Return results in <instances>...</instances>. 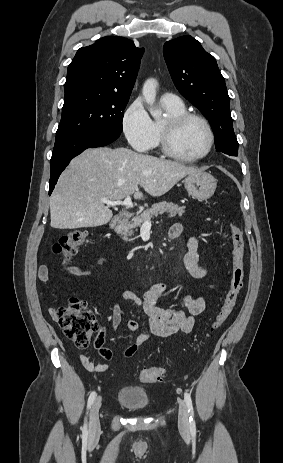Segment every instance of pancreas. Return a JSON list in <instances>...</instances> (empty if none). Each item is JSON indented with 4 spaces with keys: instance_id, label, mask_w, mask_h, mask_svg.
I'll list each match as a JSON object with an SVG mask.
<instances>
[{
    "instance_id": "cf45deb5",
    "label": "pancreas",
    "mask_w": 283,
    "mask_h": 463,
    "mask_svg": "<svg viewBox=\"0 0 283 463\" xmlns=\"http://www.w3.org/2000/svg\"><path fill=\"white\" fill-rule=\"evenodd\" d=\"M163 213H168L169 217L182 216L185 213V207H180L172 202L162 201L152 205L150 209L145 210L139 216H135L131 221L123 224L119 233L121 234L124 241H133L129 239L134 235V231L137 230L143 223L150 220L153 217H157Z\"/></svg>"
}]
</instances>
